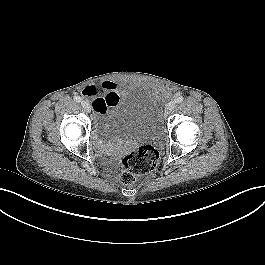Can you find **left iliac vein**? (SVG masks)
Returning <instances> with one entry per match:
<instances>
[{"label":"left iliac vein","mask_w":265,"mask_h":265,"mask_svg":"<svg viewBox=\"0 0 265 265\" xmlns=\"http://www.w3.org/2000/svg\"><path fill=\"white\" fill-rule=\"evenodd\" d=\"M176 107V104L174 101H171L169 102L167 105H166V108H165V113L166 114H169L171 113Z\"/></svg>","instance_id":"4c4485c4"}]
</instances>
